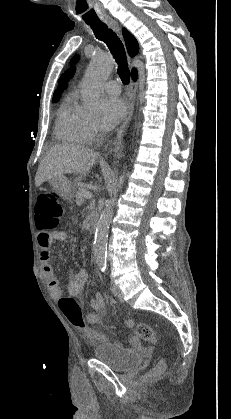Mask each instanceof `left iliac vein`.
I'll list each match as a JSON object with an SVG mask.
<instances>
[{"label": "left iliac vein", "mask_w": 231, "mask_h": 419, "mask_svg": "<svg viewBox=\"0 0 231 419\" xmlns=\"http://www.w3.org/2000/svg\"><path fill=\"white\" fill-rule=\"evenodd\" d=\"M111 285H112V289L113 291L116 293L117 298L120 302H124V296L122 291L120 290V288L114 284V282L111 280Z\"/></svg>", "instance_id": "4c4485c4"}]
</instances>
